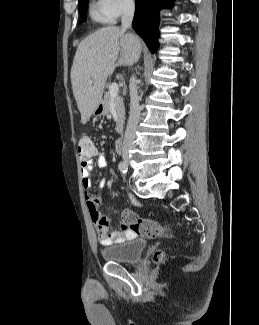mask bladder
<instances>
[{
  "instance_id": "31cf9c89",
  "label": "bladder",
  "mask_w": 259,
  "mask_h": 325,
  "mask_svg": "<svg viewBox=\"0 0 259 325\" xmlns=\"http://www.w3.org/2000/svg\"><path fill=\"white\" fill-rule=\"evenodd\" d=\"M146 247L147 241L145 239L136 238L103 248L101 256L107 262L133 264L140 260Z\"/></svg>"
}]
</instances>
